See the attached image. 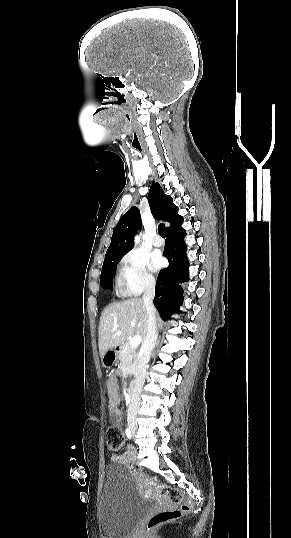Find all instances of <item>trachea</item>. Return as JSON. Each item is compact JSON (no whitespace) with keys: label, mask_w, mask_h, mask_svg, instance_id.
Instances as JSON below:
<instances>
[{"label":"trachea","mask_w":291,"mask_h":538,"mask_svg":"<svg viewBox=\"0 0 291 538\" xmlns=\"http://www.w3.org/2000/svg\"><path fill=\"white\" fill-rule=\"evenodd\" d=\"M158 233L165 238V225L163 223H160L158 226Z\"/></svg>","instance_id":"1"}]
</instances>
